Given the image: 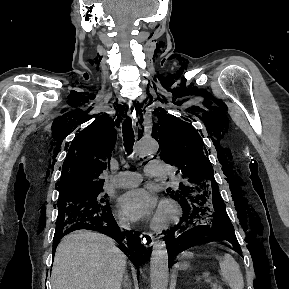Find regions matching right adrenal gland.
I'll use <instances>...</instances> for the list:
<instances>
[{
    "mask_svg": "<svg viewBox=\"0 0 289 289\" xmlns=\"http://www.w3.org/2000/svg\"><path fill=\"white\" fill-rule=\"evenodd\" d=\"M128 277L126 278V283H124L125 287H127L126 289H131L130 288V282L128 283Z\"/></svg>",
    "mask_w": 289,
    "mask_h": 289,
    "instance_id": "1",
    "label": "right adrenal gland"
}]
</instances>
